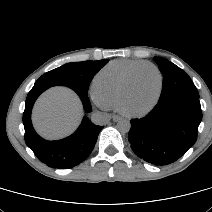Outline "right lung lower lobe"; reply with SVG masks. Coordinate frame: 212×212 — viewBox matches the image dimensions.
Returning a JSON list of instances; mask_svg holds the SVG:
<instances>
[{
	"mask_svg": "<svg viewBox=\"0 0 212 212\" xmlns=\"http://www.w3.org/2000/svg\"><path fill=\"white\" fill-rule=\"evenodd\" d=\"M49 87L51 86L34 84L27 95L23 113L25 142L37 158L47 166L58 169L72 168L89 156L103 126L95 125L85 117L71 136L59 141L42 139L33 129L31 110L37 97ZM76 93L83 102L84 110L91 112L92 108L87 94L78 91Z\"/></svg>",
	"mask_w": 212,
	"mask_h": 212,
	"instance_id": "right-lung-lower-lobe-1",
	"label": "right lung lower lobe"
}]
</instances>
